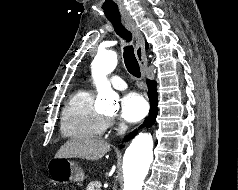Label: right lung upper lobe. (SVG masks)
I'll list each match as a JSON object with an SVG mask.
<instances>
[{"label": "right lung upper lobe", "mask_w": 238, "mask_h": 190, "mask_svg": "<svg viewBox=\"0 0 238 190\" xmlns=\"http://www.w3.org/2000/svg\"><path fill=\"white\" fill-rule=\"evenodd\" d=\"M146 48H148V44L146 43Z\"/></svg>", "instance_id": "right-lung-upper-lobe-1"}]
</instances>
